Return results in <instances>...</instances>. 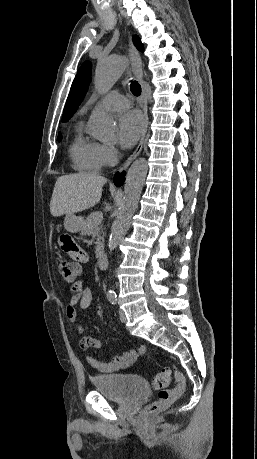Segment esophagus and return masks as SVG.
<instances>
[{"label":"esophagus","instance_id":"obj_1","mask_svg":"<svg viewBox=\"0 0 257 459\" xmlns=\"http://www.w3.org/2000/svg\"><path fill=\"white\" fill-rule=\"evenodd\" d=\"M128 53H129V57L131 60L133 72L142 87L141 106H142L143 113H144V124H143L141 138H140L137 148L130 155V157L126 160V162L122 165V167L120 168V171L126 170L128 166L131 164V162L140 154L143 148V144H144V140H145V136L147 133L148 124H149L147 95H146V90H145L144 81H143L142 60H141L139 52L136 50V48L134 47L132 43L131 37H129V40H128Z\"/></svg>","mask_w":257,"mask_h":459}]
</instances>
